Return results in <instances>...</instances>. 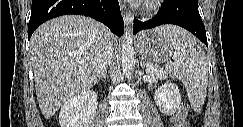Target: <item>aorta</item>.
<instances>
[{
	"label": "aorta",
	"instance_id": "aorta-1",
	"mask_svg": "<svg viewBox=\"0 0 243 127\" xmlns=\"http://www.w3.org/2000/svg\"><path fill=\"white\" fill-rule=\"evenodd\" d=\"M122 70L129 79L134 70V47L132 29L127 28L123 35L122 44Z\"/></svg>",
	"mask_w": 243,
	"mask_h": 127
}]
</instances>
